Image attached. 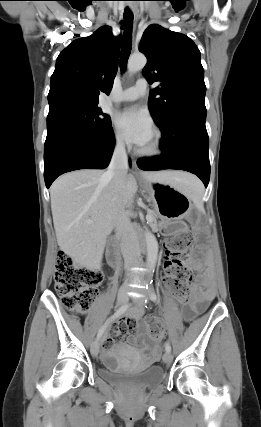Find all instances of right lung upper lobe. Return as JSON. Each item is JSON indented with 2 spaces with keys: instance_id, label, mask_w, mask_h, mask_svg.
<instances>
[{
  "instance_id": "1",
  "label": "right lung upper lobe",
  "mask_w": 261,
  "mask_h": 427,
  "mask_svg": "<svg viewBox=\"0 0 261 427\" xmlns=\"http://www.w3.org/2000/svg\"><path fill=\"white\" fill-rule=\"evenodd\" d=\"M120 36L104 26L70 43L58 56L51 77L50 109L67 104L98 105L99 91L112 89L118 69Z\"/></svg>"
}]
</instances>
